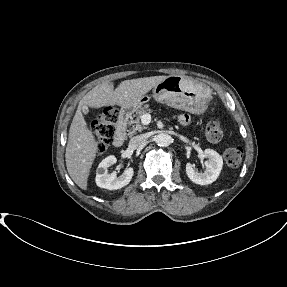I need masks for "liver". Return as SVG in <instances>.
I'll return each mask as SVG.
<instances>
[{"instance_id":"liver-1","label":"liver","mask_w":287,"mask_h":287,"mask_svg":"<svg viewBox=\"0 0 287 287\" xmlns=\"http://www.w3.org/2000/svg\"><path fill=\"white\" fill-rule=\"evenodd\" d=\"M168 76H153L122 81L114 90L112 82H104L91 89L79 102L72 120L65 160L72 180L83 190L87 189L90 169L95 160L98 143L87 128L82 107L101 108L104 106H136L157 84Z\"/></svg>"}]
</instances>
